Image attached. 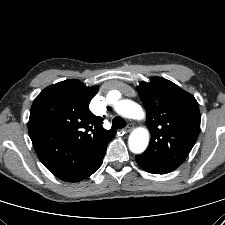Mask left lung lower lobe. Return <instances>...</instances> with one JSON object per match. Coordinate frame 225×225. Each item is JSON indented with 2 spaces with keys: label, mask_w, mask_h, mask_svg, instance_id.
Here are the masks:
<instances>
[{
  "label": "left lung lower lobe",
  "mask_w": 225,
  "mask_h": 225,
  "mask_svg": "<svg viewBox=\"0 0 225 225\" xmlns=\"http://www.w3.org/2000/svg\"><path fill=\"white\" fill-rule=\"evenodd\" d=\"M135 158L139 166L150 173L166 174L176 169L144 154L136 155Z\"/></svg>",
  "instance_id": "1"
}]
</instances>
